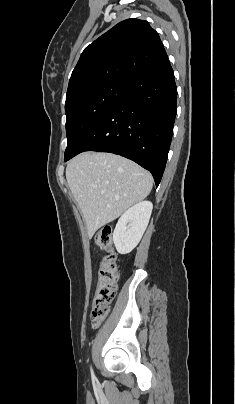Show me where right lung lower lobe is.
I'll return each mask as SVG.
<instances>
[{"label": "right lung lower lobe", "mask_w": 235, "mask_h": 404, "mask_svg": "<svg viewBox=\"0 0 235 404\" xmlns=\"http://www.w3.org/2000/svg\"><path fill=\"white\" fill-rule=\"evenodd\" d=\"M176 99L174 72L167 58L125 82L121 100L64 160L84 151L119 154L149 170L158 186L172 139Z\"/></svg>", "instance_id": "right-lung-lower-lobe-1"}]
</instances>
